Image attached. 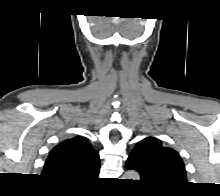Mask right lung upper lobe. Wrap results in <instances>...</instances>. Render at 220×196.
<instances>
[{"label":"right lung upper lobe","mask_w":220,"mask_h":196,"mask_svg":"<svg viewBox=\"0 0 220 196\" xmlns=\"http://www.w3.org/2000/svg\"><path fill=\"white\" fill-rule=\"evenodd\" d=\"M99 169L98 153L86 138L77 136L53 148L42 176L56 183L82 185L96 179Z\"/></svg>","instance_id":"1"}]
</instances>
